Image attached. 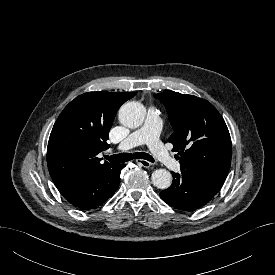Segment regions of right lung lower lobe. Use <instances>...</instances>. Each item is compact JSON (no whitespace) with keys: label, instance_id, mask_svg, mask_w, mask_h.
<instances>
[{"label":"right lung lower lobe","instance_id":"obj_1","mask_svg":"<svg viewBox=\"0 0 275 275\" xmlns=\"http://www.w3.org/2000/svg\"><path fill=\"white\" fill-rule=\"evenodd\" d=\"M124 167L125 164L113 165L88 179L61 187L59 191L72 205L82 210L94 209L117 190Z\"/></svg>","mask_w":275,"mask_h":275}]
</instances>
